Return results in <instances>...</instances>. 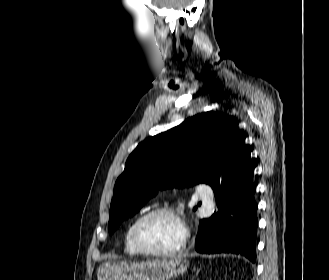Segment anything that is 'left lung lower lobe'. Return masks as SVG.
<instances>
[{
	"label": "left lung lower lobe",
	"instance_id": "obj_1",
	"mask_svg": "<svg viewBox=\"0 0 329 280\" xmlns=\"http://www.w3.org/2000/svg\"><path fill=\"white\" fill-rule=\"evenodd\" d=\"M251 151L246 145L242 148L240 169L226 186L214 191L218 209L200 221L197 252L241 254L255 262L258 222Z\"/></svg>",
	"mask_w": 329,
	"mask_h": 280
}]
</instances>
